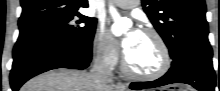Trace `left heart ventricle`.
I'll return each mask as SVG.
<instances>
[{
  "label": "left heart ventricle",
  "mask_w": 220,
  "mask_h": 91,
  "mask_svg": "<svg viewBox=\"0 0 220 91\" xmlns=\"http://www.w3.org/2000/svg\"><path fill=\"white\" fill-rule=\"evenodd\" d=\"M129 67L139 73L156 71L161 64L160 50L155 40L142 32L125 52Z\"/></svg>",
  "instance_id": "obj_1"
}]
</instances>
